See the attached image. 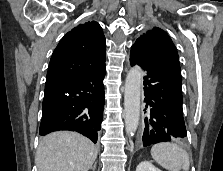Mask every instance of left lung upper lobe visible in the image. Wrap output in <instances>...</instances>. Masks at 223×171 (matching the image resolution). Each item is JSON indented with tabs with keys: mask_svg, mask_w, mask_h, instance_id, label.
<instances>
[{
	"mask_svg": "<svg viewBox=\"0 0 223 171\" xmlns=\"http://www.w3.org/2000/svg\"><path fill=\"white\" fill-rule=\"evenodd\" d=\"M134 44L156 55L181 75L177 50L169 35L162 29L154 27L141 35Z\"/></svg>",
	"mask_w": 223,
	"mask_h": 171,
	"instance_id": "5c2ea615",
	"label": "left lung upper lobe"
}]
</instances>
